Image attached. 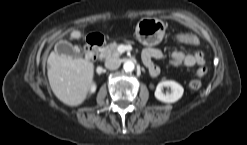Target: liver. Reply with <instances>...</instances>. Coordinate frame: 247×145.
I'll use <instances>...</instances> for the list:
<instances>
[{
  "instance_id": "6515ba94",
  "label": "liver",
  "mask_w": 247,
  "mask_h": 145,
  "mask_svg": "<svg viewBox=\"0 0 247 145\" xmlns=\"http://www.w3.org/2000/svg\"><path fill=\"white\" fill-rule=\"evenodd\" d=\"M79 37V31L71 33V38ZM47 63L49 84L55 96L69 106L82 104L93 80L94 64L88 59L71 58L54 51Z\"/></svg>"
}]
</instances>
